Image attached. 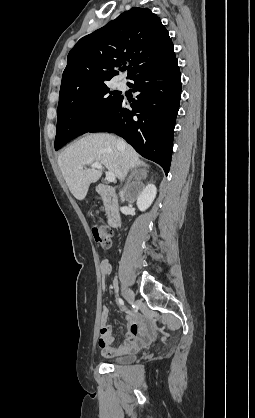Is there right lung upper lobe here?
<instances>
[{
    "label": "right lung upper lobe",
    "mask_w": 255,
    "mask_h": 418,
    "mask_svg": "<svg viewBox=\"0 0 255 418\" xmlns=\"http://www.w3.org/2000/svg\"><path fill=\"white\" fill-rule=\"evenodd\" d=\"M175 56L161 20L148 8L133 7L103 28L82 37L69 52L60 93L106 83L129 62L128 79Z\"/></svg>",
    "instance_id": "obj_1"
}]
</instances>
